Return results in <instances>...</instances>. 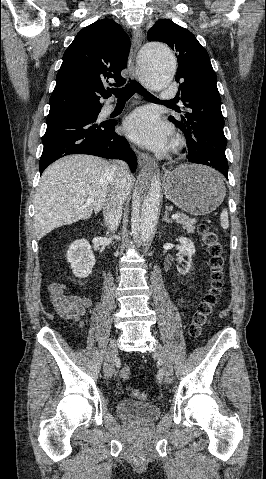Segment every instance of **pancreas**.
<instances>
[{
	"mask_svg": "<svg viewBox=\"0 0 266 479\" xmlns=\"http://www.w3.org/2000/svg\"><path fill=\"white\" fill-rule=\"evenodd\" d=\"M177 214L179 218L176 219V222L181 224L183 229L186 230L188 233H194L196 220L193 218H189L181 212H177Z\"/></svg>",
	"mask_w": 266,
	"mask_h": 479,
	"instance_id": "cf45deb5",
	"label": "pancreas"
}]
</instances>
